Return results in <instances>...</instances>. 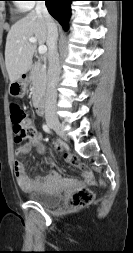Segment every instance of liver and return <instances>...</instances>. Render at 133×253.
Returning a JSON list of instances; mask_svg holds the SVG:
<instances>
[{
	"instance_id": "liver-1",
	"label": "liver",
	"mask_w": 133,
	"mask_h": 253,
	"mask_svg": "<svg viewBox=\"0 0 133 253\" xmlns=\"http://www.w3.org/2000/svg\"><path fill=\"white\" fill-rule=\"evenodd\" d=\"M30 37H35L39 45L47 42L46 20L35 11H31L17 21L8 32L5 65L11 83L27 73L32 66L33 54L37 44L30 42Z\"/></svg>"
}]
</instances>
